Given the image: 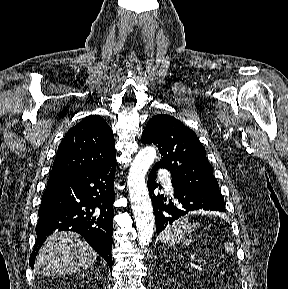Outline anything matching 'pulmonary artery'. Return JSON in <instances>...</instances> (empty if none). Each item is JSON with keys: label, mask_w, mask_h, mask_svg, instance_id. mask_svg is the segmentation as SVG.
I'll use <instances>...</instances> for the list:
<instances>
[{"label": "pulmonary artery", "mask_w": 288, "mask_h": 289, "mask_svg": "<svg viewBox=\"0 0 288 289\" xmlns=\"http://www.w3.org/2000/svg\"><path fill=\"white\" fill-rule=\"evenodd\" d=\"M158 176L163 181L166 190L169 192H172L173 186H172L170 174L164 170H161L158 172Z\"/></svg>", "instance_id": "e3ab8cb5"}]
</instances>
